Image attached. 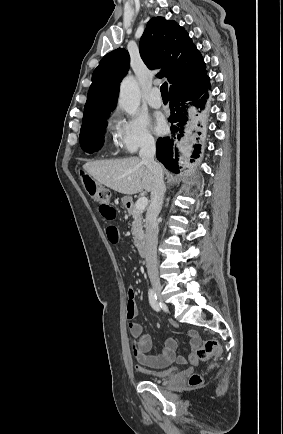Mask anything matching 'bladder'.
Masks as SVG:
<instances>
[{"instance_id": "1", "label": "bladder", "mask_w": 283, "mask_h": 434, "mask_svg": "<svg viewBox=\"0 0 283 434\" xmlns=\"http://www.w3.org/2000/svg\"><path fill=\"white\" fill-rule=\"evenodd\" d=\"M178 369L176 367H170L167 369L156 370V369H145L143 373L150 379H164L173 376L177 373Z\"/></svg>"}]
</instances>
